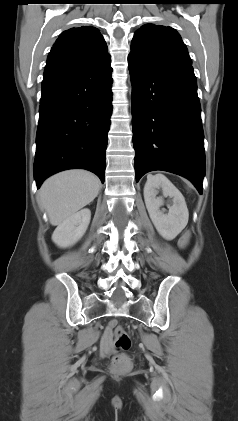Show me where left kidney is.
I'll return each mask as SVG.
<instances>
[{
  "label": "left kidney",
  "instance_id": "1",
  "mask_svg": "<svg viewBox=\"0 0 238 421\" xmlns=\"http://www.w3.org/2000/svg\"><path fill=\"white\" fill-rule=\"evenodd\" d=\"M159 189L163 197L172 198L167 214L160 210L164 204L163 197H157ZM144 200L149 216L159 232L166 240H173L187 225L189 212L181 192L162 174L148 176L144 187Z\"/></svg>",
  "mask_w": 238,
  "mask_h": 421
}]
</instances>
